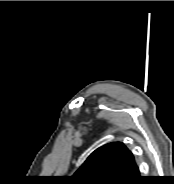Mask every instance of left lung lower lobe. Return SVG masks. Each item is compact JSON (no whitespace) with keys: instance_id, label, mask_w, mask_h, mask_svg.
<instances>
[{"instance_id":"left-lung-lower-lobe-1","label":"left lung lower lobe","mask_w":174,"mask_h":184,"mask_svg":"<svg viewBox=\"0 0 174 184\" xmlns=\"http://www.w3.org/2000/svg\"><path fill=\"white\" fill-rule=\"evenodd\" d=\"M141 176L139 175V169L138 167H136L135 173H134V177L131 180V182H129V184H136L141 180Z\"/></svg>"}]
</instances>
